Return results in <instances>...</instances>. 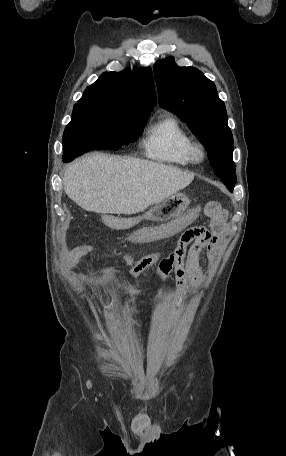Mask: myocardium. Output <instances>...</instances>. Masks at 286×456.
Wrapping results in <instances>:
<instances>
[{
    "label": "myocardium",
    "mask_w": 286,
    "mask_h": 456,
    "mask_svg": "<svg viewBox=\"0 0 286 456\" xmlns=\"http://www.w3.org/2000/svg\"><path fill=\"white\" fill-rule=\"evenodd\" d=\"M188 157L192 163L198 164L204 161L206 149L202 142L191 141L188 147Z\"/></svg>",
    "instance_id": "myocardium-1"
}]
</instances>
